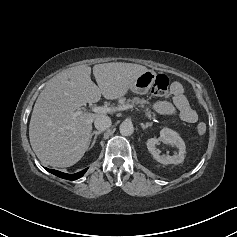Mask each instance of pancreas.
I'll return each mask as SVG.
<instances>
[{"label":"pancreas","instance_id":"cf45deb5","mask_svg":"<svg viewBox=\"0 0 237 237\" xmlns=\"http://www.w3.org/2000/svg\"><path fill=\"white\" fill-rule=\"evenodd\" d=\"M127 104H130V105H138L140 106L141 108H144V112L146 114V117L148 118H155V115L153 114L152 115V112L149 110V108L145 107V105H149V101L145 100L144 98H138V97H135L133 99H128L127 100Z\"/></svg>","mask_w":237,"mask_h":237}]
</instances>
